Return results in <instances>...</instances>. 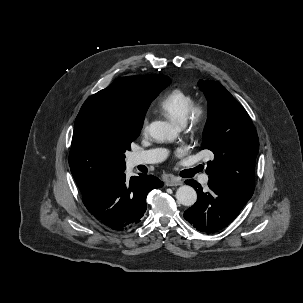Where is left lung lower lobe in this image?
<instances>
[{"label": "left lung lower lobe", "mask_w": 303, "mask_h": 303, "mask_svg": "<svg viewBox=\"0 0 303 303\" xmlns=\"http://www.w3.org/2000/svg\"><path fill=\"white\" fill-rule=\"evenodd\" d=\"M197 191V202L184 212V218L198 231L212 233L227 226L251 198L227 182L209 176V191L203 192L201 185L187 180Z\"/></svg>", "instance_id": "1"}]
</instances>
